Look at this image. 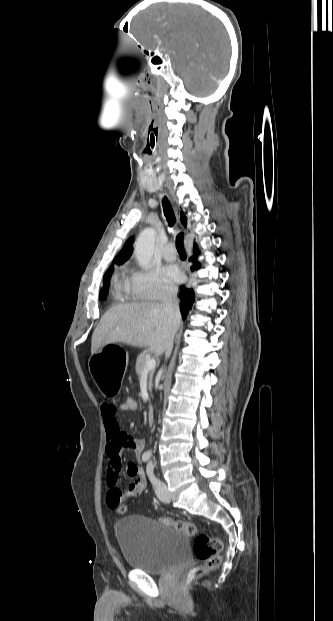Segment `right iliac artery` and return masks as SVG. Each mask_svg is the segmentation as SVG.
Listing matches in <instances>:
<instances>
[{
  "instance_id": "obj_1",
  "label": "right iliac artery",
  "mask_w": 333,
  "mask_h": 621,
  "mask_svg": "<svg viewBox=\"0 0 333 621\" xmlns=\"http://www.w3.org/2000/svg\"><path fill=\"white\" fill-rule=\"evenodd\" d=\"M149 458H150V455H149L148 453H144V454L142 455V460H143V462H147V461L149 460Z\"/></svg>"
}]
</instances>
